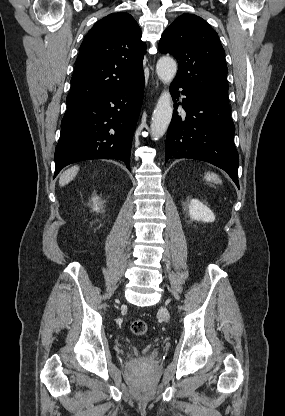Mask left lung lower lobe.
Returning <instances> with one entry per match:
<instances>
[{
    "label": "left lung lower lobe",
    "mask_w": 285,
    "mask_h": 416,
    "mask_svg": "<svg viewBox=\"0 0 285 416\" xmlns=\"http://www.w3.org/2000/svg\"><path fill=\"white\" fill-rule=\"evenodd\" d=\"M170 92L174 101L180 94L186 96L179 104L187 116L182 119L174 111L166 138L165 162L174 158L209 162L226 171L239 188V160L229 104L201 97L174 81Z\"/></svg>",
    "instance_id": "0a47b994"
}]
</instances>
